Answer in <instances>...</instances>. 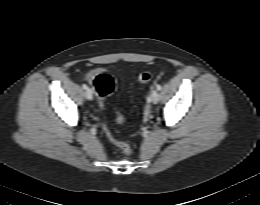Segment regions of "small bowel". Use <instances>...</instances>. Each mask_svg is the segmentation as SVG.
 <instances>
[{"label":"small bowel","instance_id":"1","mask_svg":"<svg viewBox=\"0 0 260 205\" xmlns=\"http://www.w3.org/2000/svg\"><path fill=\"white\" fill-rule=\"evenodd\" d=\"M106 69L105 68H96V69H92L88 72L85 73V79L91 84L95 78V76L99 73V72H105Z\"/></svg>","mask_w":260,"mask_h":205}]
</instances>
